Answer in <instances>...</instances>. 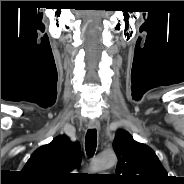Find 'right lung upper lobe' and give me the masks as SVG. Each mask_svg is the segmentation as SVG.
Returning a JSON list of instances; mask_svg holds the SVG:
<instances>
[{"mask_svg": "<svg viewBox=\"0 0 184 184\" xmlns=\"http://www.w3.org/2000/svg\"><path fill=\"white\" fill-rule=\"evenodd\" d=\"M81 163L78 142L60 135L38 148L27 161L23 172L36 183L63 184L70 180V171Z\"/></svg>", "mask_w": 184, "mask_h": 184, "instance_id": "1", "label": "right lung upper lobe"}]
</instances>
